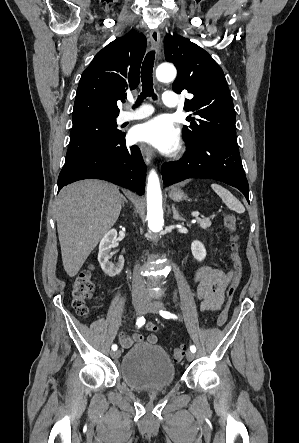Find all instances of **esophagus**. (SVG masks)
<instances>
[{"label": "esophagus", "mask_w": 299, "mask_h": 443, "mask_svg": "<svg viewBox=\"0 0 299 443\" xmlns=\"http://www.w3.org/2000/svg\"><path fill=\"white\" fill-rule=\"evenodd\" d=\"M150 41H151L152 48L155 49L156 51H158L159 47H160V33L157 29H153L150 32ZM140 150H141L144 162L147 165H149L153 159V153H152L151 148L146 144H140Z\"/></svg>", "instance_id": "obj_1"}]
</instances>
